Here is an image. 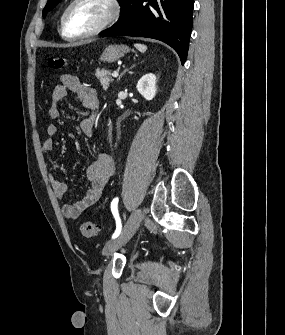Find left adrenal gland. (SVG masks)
<instances>
[{
  "mask_svg": "<svg viewBox=\"0 0 285 335\" xmlns=\"http://www.w3.org/2000/svg\"><path fill=\"white\" fill-rule=\"evenodd\" d=\"M132 68H134V66H132ZM131 70V68H130ZM126 72H129V70H124V72H122L121 76H119L118 80H121L122 76H124V74H126Z\"/></svg>",
  "mask_w": 285,
  "mask_h": 335,
  "instance_id": "obj_1",
  "label": "left adrenal gland"
}]
</instances>
